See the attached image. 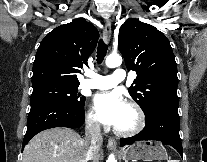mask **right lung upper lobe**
Here are the masks:
<instances>
[{
	"label": "right lung upper lobe",
	"instance_id": "1",
	"mask_svg": "<svg viewBox=\"0 0 207 162\" xmlns=\"http://www.w3.org/2000/svg\"><path fill=\"white\" fill-rule=\"evenodd\" d=\"M97 29L78 19L61 25L41 41L33 63L32 86L78 85L77 73L96 47Z\"/></svg>",
	"mask_w": 207,
	"mask_h": 162
}]
</instances>
